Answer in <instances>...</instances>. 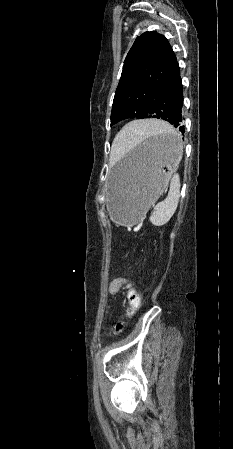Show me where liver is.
Here are the masks:
<instances>
[{
    "instance_id": "6515ba94",
    "label": "liver",
    "mask_w": 233,
    "mask_h": 449,
    "mask_svg": "<svg viewBox=\"0 0 233 449\" xmlns=\"http://www.w3.org/2000/svg\"><path fill=\"white\" fill-rule=\"evenodd\" d=\"M159 124H161V125H163V126H166V127H169L167 124H164V123H161V122H159ZM131 133H130V131H129V125L128 126H126L117 136H116V138H115V140H114V144H113V150L115 151L116 149H117V147L121 144V142L123 141V137L126 135V136H129Z\"/></svg>"
}]
</instances>
